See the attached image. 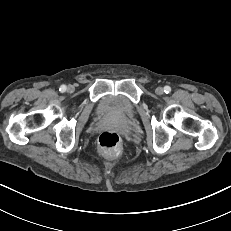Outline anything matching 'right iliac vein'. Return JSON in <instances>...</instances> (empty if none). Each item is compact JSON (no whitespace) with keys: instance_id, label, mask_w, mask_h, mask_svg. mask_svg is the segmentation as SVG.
<instances>
[{"instance_id":"right-iliac-vein-1","label":"right iliac vein","mask_w":231,"mask_h":231,"mask_svg":"<svg viewBox=\"0 0 231 231\" xmlns=\"http://www.w3.org/2000/svg\"><path fill=\"white\" fill-rule=\"evenodd\" d=\"M67 92H68V93L74 92V86H73V85H68V87H67Z\"/></svg>"}]
</instances>
